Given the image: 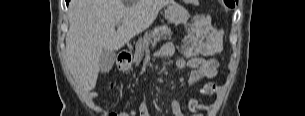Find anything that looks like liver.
Masks as SVG:
<instances>
[{"label":"liver","mask_w":305,"mask_h":116,"mask_svg":"<svg viewBox=\"0 0 305 116\" xmlns=\"http://www.w3.org/2000/svg\"><path fill=\"white\" fill-rule=\"evenodd\" d=\"M173 0H71L66 61L85 90L95 88L103 51H116L149 28ZM117 21L122 25L115 30Z\"/></svg>","instance_id":"1"}]
</instances>
